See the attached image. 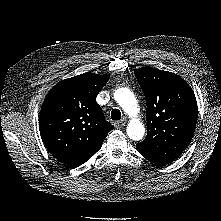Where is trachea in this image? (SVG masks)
<instances>
[{
	"mask_svg": "<svg viewBox=\"0 0 221 221\" xmlns=\"http://www.w3.org/2000/svg\"><path fill=\"white\" fill-rule=\"evenodd\" d=\"M111 119L116 121L121 119V112L119 109H113L111 111Z\"/></svg>",
	"mask_w": 221,
	"mask_h": 221,
	"instance_id": "3493384b",
	"label": "trachea"
}]
</instances>
